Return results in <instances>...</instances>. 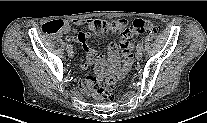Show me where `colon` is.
<instances>
[{
	"mask_svg": "<svg viewBox=\"0 0 207 123\" xmlns=\"http://www.w3.org/2000/svg\"><path fill=\"white\" fill-rule=\"evenodd\" d=\"M120 23L124 26L125 21L121 20ZM63 23L61 20H54L46 22L41 26V31L44 34H56L62 30ZM87 29L95 34H102L110 29L111 22L103 19L90 20L86 24ZM160 30V27L151 22L141 19H137L133 22L131 27L125 28L119 38V44L122 50L128 43V40L135 35H142L146 33H156ZM116 87V81L113 77L107 78L103 82L95 83L93 86V97L95 100L101 101L108 99L112 96V93Z\"/></svg>",
	"mask_w": 207,
	"mask_h": 123,
	"instance_id": "obj_1",
	"label": "colon"
}]
</instances>
